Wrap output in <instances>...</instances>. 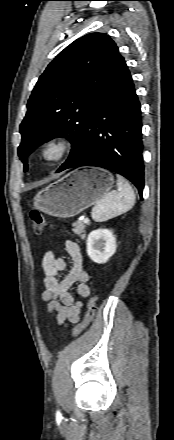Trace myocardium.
<instances>
[{"label":"myocardium","mask_w":174,"mask_h":440,"mask_svg":"<svg viewBox=\"0 0 174 440\" xmlns=\"http://www.w3.org/2000/svg\"><path fill=\"white\" fill-rule=\"evenodd\" d=\"M73 149L72 140L63 134L48 138L40 150L41 159L47 164H57L65 159ZM52 152V155L49 153Z\"/></svg>","instance_id":"myocardium-1"}]
</instances>
